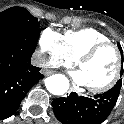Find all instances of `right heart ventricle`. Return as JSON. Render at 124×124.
<instances>
[{
    "instance_id": "e07e8e85",
    "label": "right heart ventricle",
    "mask_w": 124,
    "mask_h": 124,
    "mask_svg": "<svg viewBox=\"0 0 124 124\" xmlns=\"http://www.w3.org/2000/svg\"><path fill=\"white\" fill-rule=\"evenodd\" d=\"M62 39L65 53L72 61L78 60L94 45L110 41L105 33L95 28L68 30Z\"/></svg>"
}]
</instances>
